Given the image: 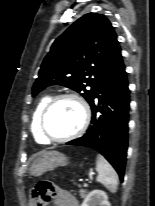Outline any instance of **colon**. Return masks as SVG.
<instances>
[{
	"label": "colon",
	"mask_w": 155,
	"mask_h": 206,
	"mask_svg": "<svg viewBox=\"0 0 155 206\" xmlns=\"http://www.w3.org/2000/svg\"><path fill=\"white\" fill-rule=\"evenodd\" d=\"M53 189V184L50 181L42 180L31 190V196L39 206H46Z\"/></svg>",
	"instance_id": "colon-1"
}]
</instances>
